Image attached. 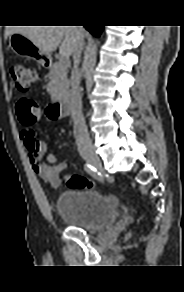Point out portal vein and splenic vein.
Returning <instances> with one entry per match:
<instances>
[{"instance_id":"portal-vein-and-splenic-vein-1","label":"portal vein and splenic vein","mask_w":184,"mask_h":292,"mask_svg":"<svg viewBox=\"0 0 184 292\" xmlns=\"http://www.w3.org/2000/svg\"><path fill=\"white\" fill-rule=\"evenodd\" d=\"M59 63L63 66H67L68 64V57L66 56H61L60 60H59Z\"/></svg>"}]
</instances>
